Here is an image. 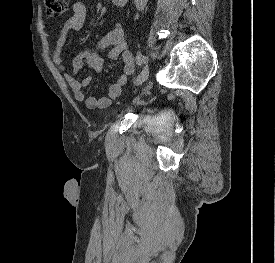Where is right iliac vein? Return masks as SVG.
Listing matches in <instances>:
<instances>
[{
	"label": "right iliac vein",
	"instance_id": "63e3f726",
	"mask_svg": "<svg viewBox=\"0 0 275 263\" xmlns=\"http://www.w3.org/2000/svg\"><path fill=\"white\" fill-rule=\"evenodd\" d=\"M148 75H149V70H148V67L146 66L142 70V72L138 75V77L135 81V85H139V84L143 83L148 78Z\"/></svg>",
	"mask_w": 275,
	"mask_h": 263
}]
</instances>
